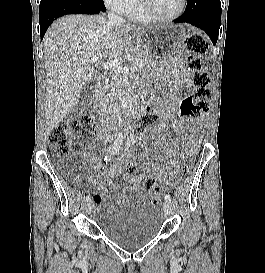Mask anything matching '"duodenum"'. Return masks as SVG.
<instances>
[{"label": "duodenum", "mask_w": 265, "mask_h": 273, "mask_svg": "<svg viewBox=\"0 0 265 273\" xmlns=\"http://www.w3.org/2000/svg\"><path fill=\"white\" fill-rule=\"evenodd\" d=\"M99 90H100V86H98V89H97L96 93H98ZM98 99H99V95L96 94V95L94 96V98H93V102L96 103V102L98 101Z\"/></svg>", "instance_id": "duodenum-1"}]
</instances>
